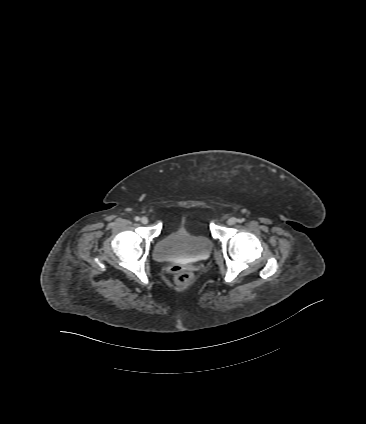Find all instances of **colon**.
I'll return each instance as SVG.
<instances>
[{
	"label": "colon",
	"mask_w": 366,
	"mask_h": 424,
	"mask_svg": "<svg viewBox=\"0 0 366 424\" xmlns=\"http://www.w3.org/2000/svg\"><path fill=\"white\" fill-rule=\"evenodd\" d=\"M176 282L180 285H186L191 279V273L183 266H174L171 268Z\"/></svg>",
	"instance_id": "colon-1"
}]
</instances>
